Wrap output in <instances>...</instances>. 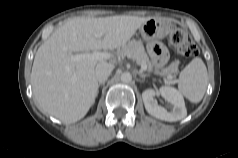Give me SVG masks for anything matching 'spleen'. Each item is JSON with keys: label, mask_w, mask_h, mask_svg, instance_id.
Segmentation results:
<instances>
[{"label": "spleen", "mask_w": 238, "mask_h": 158, "mask_svg": "<svg viewBox=\"0 0 238 158\" xmlns=\"http://www.w3.org/2000/svg\"><path fill=\"white\" fill-rule=\"evenodd\" d=\"M207 88V68L201 58H194L181 72L178 91L193 103L202 100Z\"/></svg>", "instance_id": "spleen-1"}]
</instances>
